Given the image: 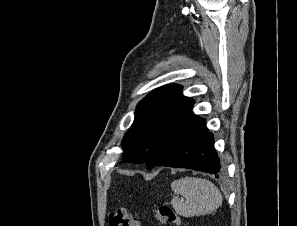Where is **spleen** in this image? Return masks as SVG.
<instances>
[{
    "instance_id": "3e777b00",
    "label": "spleen",
    "mask_w": 297,
    "mask_h": 226,
    "mask_svg": "<svg viewBox=\"0 0 297 226\" xmlns=\"http://www.w3.org/2000/svg\"><path fill=\"white\" fill-rule=\"evenodd\" d=\"M171 189L174 192L171 205L175 212L183 217L206 215L222 205L221 192L211 181L204 178H180L171 183Z\"/></svg>"
}]
</instances>
